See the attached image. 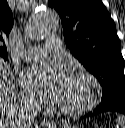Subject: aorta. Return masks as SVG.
<instances>
[{
  "label": "aorta",
  "mask_w": 125,
  "mask_h": 128,
  "mask_svg": "<svg viewBox=\"0 0 125 128\" xmlns=\"http://www.w3.org/2000/svg\"><path fill=\"white\" fill-rule=\"evenodd\" d=\"M58 26L57 13L47 8L40 10L27 25V34L32 39H41L48 33L54 31Z\"/></svg>",
  "instance_id": "762f6f07"
}]
</instances>
